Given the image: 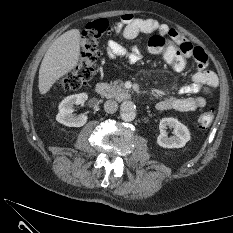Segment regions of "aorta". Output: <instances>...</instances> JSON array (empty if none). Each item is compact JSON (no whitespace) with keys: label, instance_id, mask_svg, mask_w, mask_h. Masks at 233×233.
<instances>
[{"label":"aorta","instance_id":"762f6f07","mask_svg":"<svg viewBox=\"0 0 233 233\" xmlns=\"http://www.w3.org/2000/svg\"><path fill=\"white\" fill-rule=\"evenodd\" d=\"M121 119L130 122L136 117V105L130 100L122 102L120 105Z\"/></svg>","mask_w":233,"mask_h":233}]
</instances>
